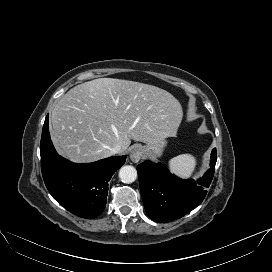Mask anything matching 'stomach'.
<instances>
[{"mask_svg": "<svg viewBox=\"0 0 272 272\" xmlns=\"http://www.w3.org/2000/svg\"><path fill=\"white\" fill-rule=\"evenodd\" d=\"M165 146L166 141L162 140L155 145L144 146V151L146 152L147 156H149L152 159H156L163 154Z\"/></svg>", "mask_w": 272, "mask_h": 272, "instance_id": "0dacf381", "label": "stomach"}]
</instances>
